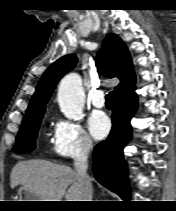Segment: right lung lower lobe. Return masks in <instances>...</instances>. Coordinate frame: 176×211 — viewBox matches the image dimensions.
Instances as JSON below:
<instances>
[{"mask_svg":"<svg viewBox=\"0 0 176 211\" xmlns=\"http://www.w3.org/2000/svg\"><path fill=\"white\" fill-rule=\"evenodd\" d=\"M137 109L135 89L114 98L112 130L109 137L95 146L93 171L98 182L118 194L123 200L130 198L126 162L123 148L132 137L130 120Z\"/></svg>","mask_w":176,"mask_h":211,"instance_id":"right-lung-lower-lobe-1","label":"right lung lower lobe"}]
</instances>
